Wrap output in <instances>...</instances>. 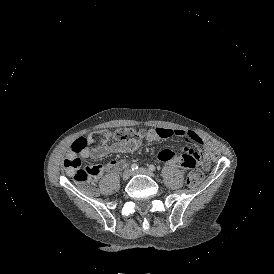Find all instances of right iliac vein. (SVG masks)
<instances>
[{"instance_id": "63e3f726", "label": "right iliac vein", "mask_w": 274, "mask_h": 274, "mask_svg": "<svg viewBox=\"0 0 274 274\" xmlns=\"http://www.w3.org/2000/svg\"><path fill=\"white\" fill-rule=\"evenodd\" d=\"M131 174H132V172L130 170H125L123 172L122 179L125 181L128 180L130 178Z\"/></svg>"}]
</instances>
